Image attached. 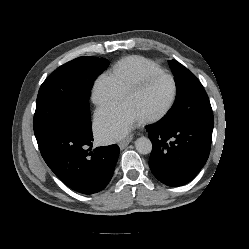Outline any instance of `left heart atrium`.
Instances as JSON below:
<instances>
[{"instance_id": "obj_1", "label": "left heart atrium", "mask_w": 249, "mask_h": 249, "mask_svg": "<svg viewBox=\"0 0 249 249\" xmlns=\"http://www.w3.org/2000/svg\"><path fill=\"white\" fill-rule=\"evenodd\" d=\"M140 117L126 102L100 109L96 114V133L104 141H115L125 136Z\"/></svg>"}]
</instances>
